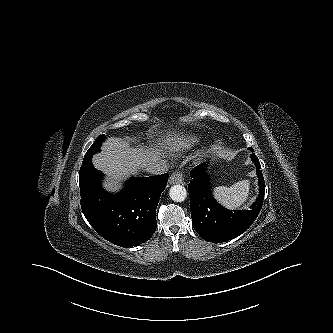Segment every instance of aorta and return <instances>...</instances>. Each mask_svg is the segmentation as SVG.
Here are the masks:
<instances>
[{
	"label": "aorta",
	"mask_w": 333,
	"mask_h": 333,
	"mask_svg": "<svg viewBox=\"0 0 333 333\" xmlns=\"http://www.w3.org/2000/svg\"><path fill=\"white\" fill-rule=\"evenodd\" d=\"M170 198L175 202H183L187 197L186 188L182 185H173L170 188Z\"/></svg>",
	"instance_id": "aorta-1"
}]
</instances>
